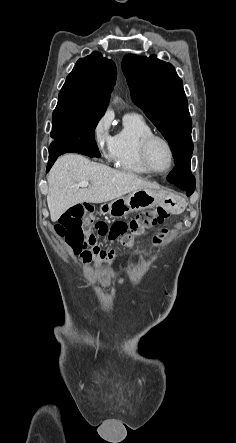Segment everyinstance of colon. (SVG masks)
Instances as JSON below:
<instances>
[{"instance_id":"obj_1","label":"colon","mask_w":236,"mask_h":443,"mask_svg":"<svg viewBox=\"0 0 236 443\" xmlns=\"http://www.w3.org/2000/svg\"><path fill=\"white\" fill-rule=\"evenodd\" d=\"M167 217V210L158 207L141 212L130 221H119L108 226L102 221H95L87 205L74 204L61 215L56 231L84 262L114 264L118 259L117 251L97 246L98 237L109 241L119 239L124 248H131L136 237L161 224Z\"/></svg>"}]
</instances>
